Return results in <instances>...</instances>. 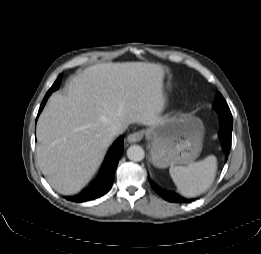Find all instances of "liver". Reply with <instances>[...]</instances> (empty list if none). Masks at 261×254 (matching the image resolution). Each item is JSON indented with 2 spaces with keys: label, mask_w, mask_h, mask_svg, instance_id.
Here are the masks:
<instances>
[{
  "label": "liver",
  "mask_w": 261,
  "mask_h": 254,
  "mask_svg": "<svg viewBox=\"0 0 261 254\" xmlns=\"http://www.w3.org/2000/svg\"><path fill=\"white\" fill-rule=\"evenodd\" d=\"M161 66L105 63L73 76L64 94H53L37 124V162L57 192H79L100 165L113 127L160 121Z\"/></svg>",
  "instance_id": "obj_1"
}]
</instances>
